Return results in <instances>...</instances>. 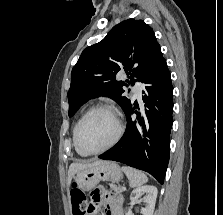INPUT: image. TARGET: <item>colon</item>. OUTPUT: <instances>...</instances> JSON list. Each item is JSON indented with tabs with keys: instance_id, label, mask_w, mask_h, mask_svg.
Returning <instances> with one entry per match:
<instances>
[{
	"instance_id": "colon-1",
	"label": "colon",
	"mask_w": 223,
	"mask_h": 215,
	"mask_svg": "<svg viewBox=\"0 0 223 215\" xmlns=\"http://www.w3.org/2000/svg\"><path fill=\"white\" fill-rule=\"evenodd\" d=\"M71 202L73 215H86L89 206L85 194L78 187L74 186L71 190Z\"/></svg>"
}]
</instances>
